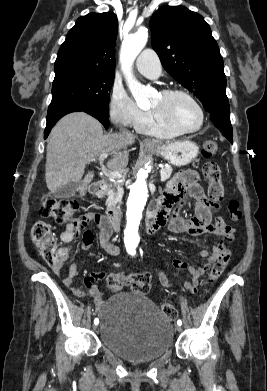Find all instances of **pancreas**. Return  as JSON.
<instances>
[{"label":"pancreas","instance_id":"obj_1","mask_svg":"<svg viewBox=\"0 0 267 391\" xmlns=\"http://www.w3.org/2000/svg\"><path fill=\"white\" fill-rule=\"evenodd\" d=\"M172 167L167 166L161 169V180L166 181L170 178L172 173ZM123 188L122 183L119 181L110 182L108 184V189L106 190V195L108 196V199L106 201V205L108 208H114L117 204L121 202V199L123 197Z\"/></svg>","mask_w":267,"mask_h":391}]
</instances>
